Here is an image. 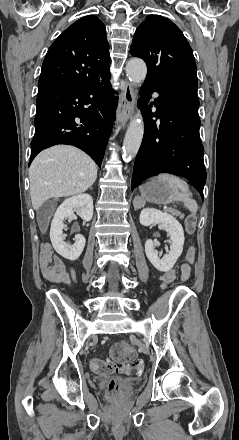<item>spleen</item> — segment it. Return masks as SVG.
I'll return each mask as SVG.
<instances>
[{"label": "spleen", "mask_w": 239, "mask_h": 440, "mask_svg": "<svg viewBox=\"0 0 239 440\" xmlns=\"http://www.w3.org/2000/svg\"><path fill=\"white\" fill-rule=\"evenodd\" d=\"M159 180H163V182H168L171 186H176L180 192L176 194V200H180V202H184L185 208H188L190 212H197V202L190 198L191 192H189L188 184L184 182V180H180L177 176H171V174H160L158 176Z\"/></svg>", "instance_id": "1"}]
</instances>
